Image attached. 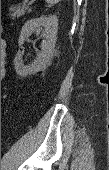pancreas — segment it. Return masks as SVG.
<instances>
[{"mask_svg":"<svg viewBox=\"0 0 109 170\" xmlns=\"http://www.w3.org/2000/svg\"><path fill=\"white\" fill-rule=\"evenodd\" d=\"M31 10L29 9L28 6L23 5V6H18L16 8L13 9L12 13H10V16L14 19V18H18L23 16L26 12H30Z\"/></svg>","mask_w":109,"mask_h":170,"instance_id":"1","label":"pancreas"}]
</instances>
